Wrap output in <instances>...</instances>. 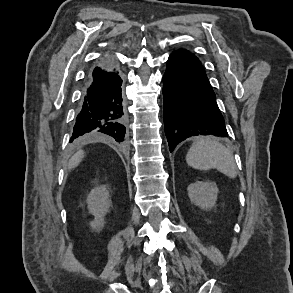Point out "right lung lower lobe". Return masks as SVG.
<instances>
[{
  "instance_id": "1",
  "label": "right lung lower lobe",
  "mask_w": 293,
  "mask_h": 293,
  "mask_svg": "<svg viewBox=\"0 0 293 293\" xmlns=\"http://www.w3.org/2000/svg\"><path fill=\"white\" fill-rule=\"evenodd\" d=\"M121 86L122 79L112 60L103 59L89 71L70 142L108 138L121 144L126 140Z\"/></svg>"
}]
</instances>
